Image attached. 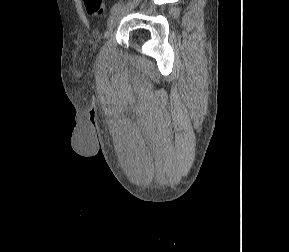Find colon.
<instances>
[{
  "mask_svg": "<svg viewBox=\"0 0 289 252\" xmlns=\"http://www.w3.org/2000/svg\"><path fill=\"white\" fill-rule=\"evenodd\" d=\"M88 14L92 16L102 15L104 12V0H83Z\"/></svg>",
  "mask_w": 289,
  "mask_h": 252,
  "instance_id": "obj_1",
  "label": "colon"
}]
</instances>
